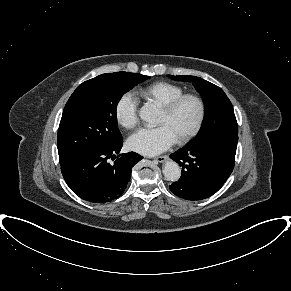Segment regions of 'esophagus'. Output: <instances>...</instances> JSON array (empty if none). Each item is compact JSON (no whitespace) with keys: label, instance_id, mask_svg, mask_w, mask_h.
Returning a JSON list of instances; mask_svg holds the SVG:
<instances>
[{"label":"esophagus","instance_id":"34e87169","mask_svg":"<svg viewBox=\"0 0 291 291\" xmlns=\"http://www.w3.org/2000/svg\"><path fill=\"white\" fill-rule=\"evenodd\" d=\"M167 159H168V156L167 155H162V156L155 157V160L158 161V162H160V163L165 162Z\"/></svg>","mask_w":291,"mask_h":291}]
</instances>
